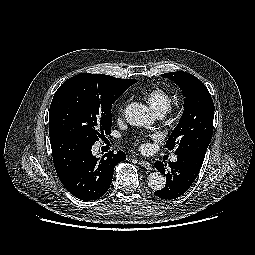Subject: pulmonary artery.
<instances>
[{"label": "pulmonary artery", "mask_w": 255, "mask_h": 255, "mask_svg": "<svg viewBox=\"0 0 255 255\" xmlns=\"http://www.w3.org/2000/svg\"><path fill=\"white\" fill-rule=\"evenodd\" d=\"M159 116H161L162 114H158ZM171 161L172 162H176L177 161V156H172V158H171Z\"/></svg>", "instance_id": "e3ab8cb5"}]
</instances>
